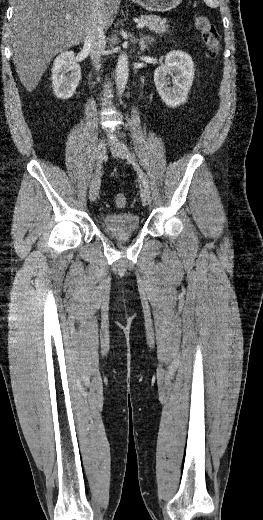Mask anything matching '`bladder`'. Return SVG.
Returning a JSON list of instances; mask_svg holds the SVG:
<instances>
[{
  "label": "bladder",
  "instance_id": "bladder-1",
  "mask_svg": "<svg viewBox=\"0 0 263 520\" xmlns=\"http://www.w3.org/2000/svg\"><path fill=\"white\" fill-rule=\"evenodd\" d=\"M102 224L108 232L126 233L137 231L141 226V220L136 213L106 214L102 218Z\"/></svg>",
  "mask_w": 263,
  "mask_h": 520
}]
</instances>
